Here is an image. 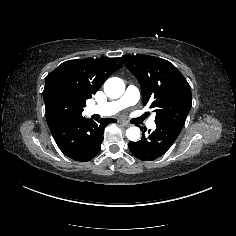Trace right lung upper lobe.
Returning <instances> with one entry per match:
<instances>
[{
  "label": "right lung upper lobe",
  "instance_id": "obj_1",
  "mask_svg": "<svg viewBox=\"0 0 236 236\" xmlns=\"http://www.w3.org/2000/svg\"><path fill=\"white\" fill-rule=\"evenodd\" d=\"M123 64L121 58L79 59L63 62L47 75L44 100L54 95L65 106L81 109L104 81Z\"/></svg>",
  "mask_w": 236,
  "mask_h": 236
}]
</instances>
